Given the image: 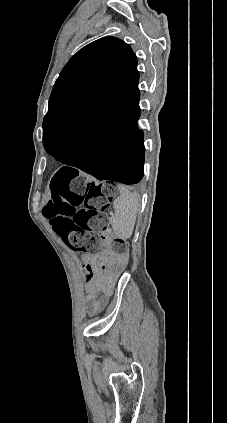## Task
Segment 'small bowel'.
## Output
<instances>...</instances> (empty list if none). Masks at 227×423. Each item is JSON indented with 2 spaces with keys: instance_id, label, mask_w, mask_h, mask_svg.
Masks as SVG:
<instances>
[{
  "instance_id": "obj_1",
  "label": "small bowel",
  "mask_w": 227,
  "mask_h": 423,
  "mask_svg": "<svg viewBox=\"0 0 227 423\" xmlns=\"http://www.w3.org/2000/svg\"><path fill=\"white\" fill-rule=\"evenodd\" d=\"M86 266L87 269L93 272V267L90 264ZM122 266L123 261L121 258H117L109 253L103 255V262L100 265L99 274L88 290L87 304L91 314L98 312L105 304V300L100 298V293L112 282L114 276L122 269Z\"/></svg>"
}]
</instances>
